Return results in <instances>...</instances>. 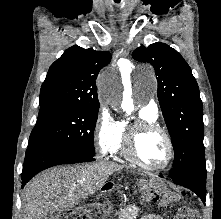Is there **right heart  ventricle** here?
Segmentation results:
<instances>
[{
    "instance_id": "obj_1",
    "label": "right heart ventricle",
    "mask_w": 221,
    "mask_h": 219,
    "mask_svg": "<svg viewBox=\"0 0 221 219\" xmlns=\"http://www.w3.org/2000/svg\"><path fill=\"white\" fill-rule=\"evenodd\" d=\"M139 117L142 120H146V121H150V122H155L157 119V116H152L151 114H149L145 111H142V110L139 114ZM127 127H128V123L126 121L119 122L117 138H116V141L110 151L111 154H120V155L126 157L124 154L123 148H124V138H125V133H126Z\"/></svg>"
}]
</instances>
